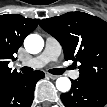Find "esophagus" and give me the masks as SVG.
<instances>
[{
  "label": "esophagus",
  "instance_id": "esophagus-1",
  "mask_svg": "<svg viewBox=\"0 0 107 107\" xmlns=\"http://www.w3.org/2000/svg\"><path fill=\"white\" fill-rule=\"evenodd\" d=\"M48 77H50L51 79H56L57 78V76L56 75H52V74H50V73H47L46 74Z\"/></svg>",
  "mask_w": 107,
  "mask_h": 107
}]
</instances>
